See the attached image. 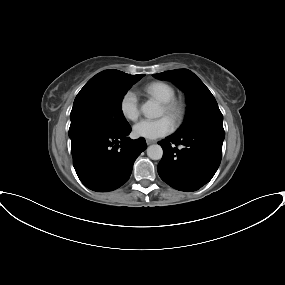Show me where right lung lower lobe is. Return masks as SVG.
<instances>
[{
    "instance_id": "1",
    "label": "right lung lower lobe",
    "mask_w": 285,
    "mask_h": 285,
    "mask_svg": "<svg viewBox=\"0 0 285 285\" xmlns=\"http://www.w3.org/2000/svg\"><path fill=\"white\" fill-rule=\"evenodd\" d=\"M130 132L131 127L117 132L94 127L70 136L74 168L87 188L108 192L127 182L134 161L147 147L144 138L127 137Z\"/></svg>"
}]
</instances>
